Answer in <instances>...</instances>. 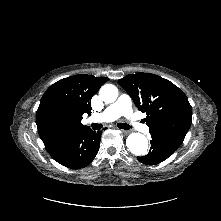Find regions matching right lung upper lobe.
I'll return each mask as SVG.
<instances>
[{"mask_svg": "<svg viewBox=\"0 0 221 221\" xmlns=\"http://www.w3.org/2000/svg\"><path fill=\"white\" fill-rule=\"evenodd\" d=\"M109 79L79 74L51 85L40 100L36 113L39 135L46 149L81 131L82 115L91 113V98Z\"/></svg>", "mask_w": 221, "mask_h": 221, "instance_id": "1", "label": "right lung upper lobe"}]
</instances>
